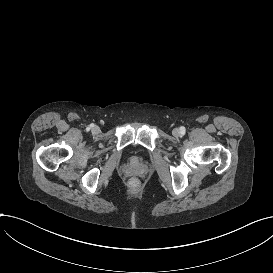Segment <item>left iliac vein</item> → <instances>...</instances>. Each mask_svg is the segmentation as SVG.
Masks as SVG:
<instances>
[{
    "instance_id": "left-iliac-vein-1",
    "label": "left iliac vein",
    "mask_w": 273,
    "mask_h": 273,
    "mask_svg": "<svg viewBox=\"0 0 273 273\" xmlns=\"http://www.w3.org/2000/svg\"><path fill=\"white\" fill-rule=\"evenodd\" d=\"M172 134L175 137H179L181 135V131L179 130V128H175L173 129Z\"/></svg>"
}]
</instances>
